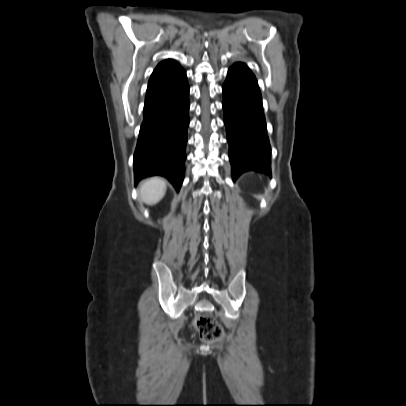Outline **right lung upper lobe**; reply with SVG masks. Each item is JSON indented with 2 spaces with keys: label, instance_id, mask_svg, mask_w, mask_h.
<instances>
[{
  "label": "right lung upper lobe",
  "instance_id": "right-lung-upper-lobe-1",
  "mask_svg": "<svg viewBox=\"0 0 406 406\" xmlns=\"http://www.w3.org/2000/svg\"><path fill=\"white\" fill-rule=\"evenodd\" d=\"M178 66L179 64L173 60H166L161 62L152 73L149 80V85L163 80L170 74L172 69Z\"/></svg>",
  "mask_w": 406,
  "mask_h": 406
}]
</instances>
